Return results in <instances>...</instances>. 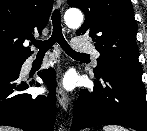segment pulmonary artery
<instances>
[{
	"mask_svg": "<svg viewBox=\"0 0 147 131\" xmlns=\"http://www.w3.org/2000/svg\"><path fill=\"white\" fill-rule=\"evenodd\" d=\"M73 49L77 52H89L92 53L95 58L99 57V52L94 48V46L81 39H74L72 41ZM32 58L28 59L27 64H31Z\"/></svg>",
	"mask_w": 147,
	"mask_h": 131,
	"instance_id": "e3ab8cb5",
	"label": "pulmonary artery"
}]
</instances>
